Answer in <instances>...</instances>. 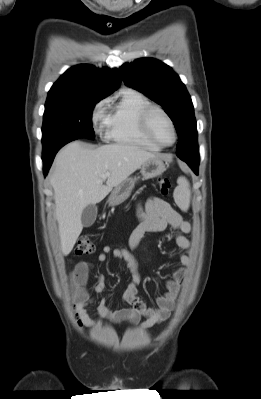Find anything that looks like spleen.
<instances>
[{"label": "spleen", "mask_w": 261, "mask_h": 399, "mask_svg": "<svg viewBox=\"0 0 261 399\" xmlns=\"http://www.w3.org/2000/svg\"><path fill=\"white\" fill-rule=\"evenodd\" d=\"M178 186L174 190V200L182 211H187L190 206V185L185 177L177 180Z\"/></svg>", "instance_id": "3e777b00"}]
</instances>
